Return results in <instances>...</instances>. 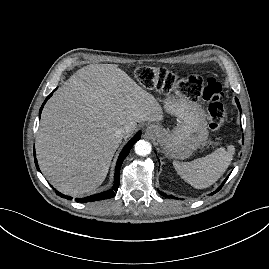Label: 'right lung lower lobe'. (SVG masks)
<instances>
[{"instance_id": "1", "label": "right lung lower lobe", "mask_w": 269, "mask_h": 269, "mask_svg": "<svg viewBox=\"0 0 269 269\" xmlns=\"http://www.w3.org/2000/svg\"><path fill=\"white\" fill-rule=\"evenodd\" d=\"M57 89V88H56ZM55 89V90H56ZM54 90V91H55ZM52 96V94H50L44 101L43 105L40 108V115L43 109L44 104L46 103V101ZM141 137V132H137L136 135L125 145V147L123 148L122 152L119 155L117 164H116V169H115V177H114V185L111 189L105 191V192H101L99 194H95V195H91L85 198H76L75 200L81 203H87V202H93V201H98V200H104V199H109L111 197H113L115 195V193L118 190L119 187V172H120V167L123 163V160L126 158V156L129 154L130 149L132 148V146L134 145V143H136ZM34 160H35V165L37 167V169L39 170L38 167V163H37V159H36V155H35V149H34ZM57 195L61 196V197H66L65 195L61 194L60 192H56ZM67 199L71 200L72 197H66Z\"/></svg>"}]
</instances>
